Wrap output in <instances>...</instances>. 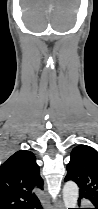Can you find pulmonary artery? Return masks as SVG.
<instances>
[{
  "label": "pulmonary artery",
  "instance_id": "1",
  "mask_svg": "<svg viewBox=\"0 0 98 209\" xmlns=\"http://www.w3.org/2000/svg\"><path fill=\"white\" fill-rule=\"evenodd\" d=\"M85 202H86V203H84V204H89L88 201H85Z\"/></svg>",
  "mask_w": 98,
  "mask_h": 209
}]
</instances>
